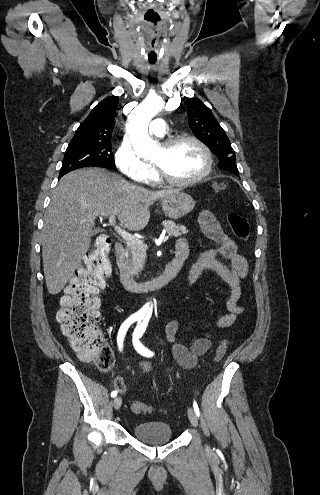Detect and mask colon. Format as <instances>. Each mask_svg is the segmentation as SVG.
<instances>
[{"instance_id":"obj_1","label":"colon","mask_w":320,"mask_h":495,"mask_svg":"<svg viewBox=\"0 0 320 495\" xmlns=\"http://www.w3.org/2000/svg\"><path fill=\"white\" fill-rule=\"evenodd\" d=\"M228 182L216 185V192L226 190ZM229 226L235 237L246 241L250 227L248 220L241 214L231 212L227 216ZM110 241L100 237L94 249L87 255L84 266L77 272L65 290L61 299V307L57 312V320L61 324L64 335L71 339L73 349L82 357L92 360L99 369L106 370L113 364L111 347L101 342L98 330L99 305L98 294L107 284L112 273L109 259ZM227 350V340L222 339L216 348L214 359L220 362ZM119 391L124 390L123 382L117 380L114 384ZM132 412L136 414L149 413L152 408L144 402L134 401Z\"/></svg>"}]
</instances>
